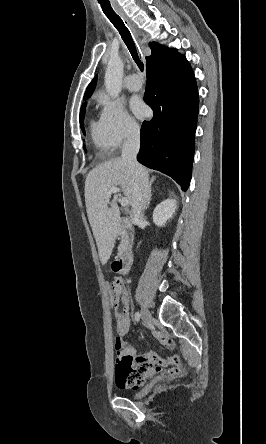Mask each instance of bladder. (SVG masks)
<instances>
[{
  "instance_id": "bladder-1",
  "label": "bladder",
  "mask_w": 266,
  "mask_h": 444,
  "mask_svg": "<svg viewBox=\"0 0 266 444\" xmlns=\"http://www.w3.org/2000/svg\"><path fill=\"white\" fill-rule=\"evenodd\" d=\"M156 383H157V380H152V381L149 383V385L145 386V387L142 388V389L132 391V392L130 393V395H131L132 397H141V396L145 395L146 393L150 392V391L153 389V387L156 385Z\"/></svg>"
}]
</instances>
